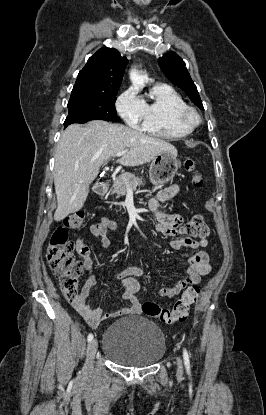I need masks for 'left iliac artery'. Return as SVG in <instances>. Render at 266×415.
<instances>
[{
	"label": "left iliac artery",
	"instance_id": "44dca946",
	"mask_svg": "<svg viewBox=\"0 0 266 415\" xmlns=\"http://www.w3.org/2000/svg\"><path fill=\"white\" fill-rule=\"evenodd\" d=\"M183 358H184V364H185L186 370H187V372H190L189 355H188V352L185 348L183 349Z\"/></svg>",
	"mask_w": 266,
	"mask_h": 415
}]
</instances>
